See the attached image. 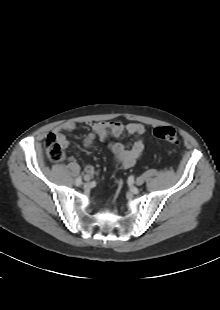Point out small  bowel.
I'll return each mask as SVG.
<instances>
[{
	"label": "small bowel",
	"mask_w": 220,
	"mask_h": 310,
	"mask_svg": "<svg viewBox=\"0 0 220 310\" xmlns=\"http://www.w3.org/2000/svg\"><path fill=\"white\" fill-rule=\"evenodd\" d=\"M75 128L76 124L74 122L67 121L54 129L53 133L58 137L64 148H67L69 145L64 132H72ZM145 132L146 128L141 123L132 122L124 125L118 121L95 122L90 125V132L84 138L83 145L89 147L96 138H104L108 135L114 137H119L124 134L137 136L138 139L130 147L118 142H113L109 146L114 154L115 164L123 169H129L136 165L144 151L145 143L143 136ZM84 170L86 175L93 176L95 174V170L91 165H86Z\"/></svg>",
	"instance_id": "obj_1"
}]
</instances>
